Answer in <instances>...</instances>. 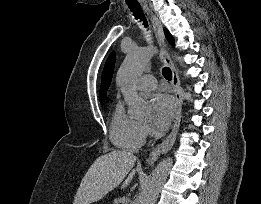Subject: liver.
<instances>
[{
	"label": "liver",
	"instance_id": "obj_1",
	"mask_svg": "<svg viewBox=\"0 0 261 204\" xmlns=\"http://www.w3.org/2000/svg\"><path fill=\"white\" fill-rule=\"evenodd\" d=\"M136 156L127 151L114 150L98 157L84 175L73 204H91L102 199L117 187L132 170ZM140 165L132 170L122 188L128 186Z\"/></svg>",
	"mask_w": 261,
	"mask_h": 204
}]
</instances>
